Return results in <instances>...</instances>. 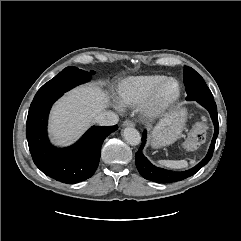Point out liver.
<instances>
[{"label": "liver", "mask_w": 241, "mask_h": 241, "mask_svg": "<svg viewBox=\"0 0 241 241\" xmlns=\"http://www.w3.org/2000/svg\"><path fill=\"white\" fill-rule=\"evenodd\" d=\"M108 104L109 97L95 84L71 90L51 111L49 132L52 140L59 145L71 144Z\"/></svg>", "instance_id": "liver-1"}]
</instances>
